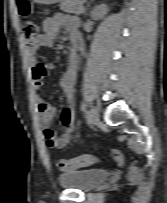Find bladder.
<instances>
[{
	"instance_id": "31cf9c89",
	"label": "bladder",
	"mask_w": 167,
	"mask_h": 203,
	"mask_svg": "<svg viewBox=\"0 0 167 203\" xmlns=\"http://www.w3.org/2000/svg\"><path fill=\"white\" fill-rule=\"evenodd\" d=\"M111 173L104 169H79L61 173L58 182L62 187L88 191L107 181Z\"/></svg>"
}]
</instances>
